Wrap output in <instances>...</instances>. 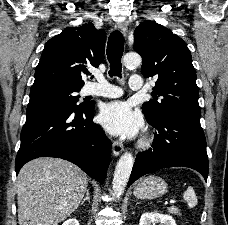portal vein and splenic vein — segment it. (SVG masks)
<instances>
[{
    "label": "portal vein and splenic vein",
    "instance_id": "obj_1",
    "mask_svg": "<svg viewBox=\"0 0 228 225\" xmlns=\"http://www.w3.org/2000/svg\"><path fill=\"white\" fill-rule=\"evenodd\" d=\"M177 201L176 200H168L164 203L165 207H170V205H176Z\"/></svg>",
    "mask_w": 228,
    "mask_h": 225
}]
</instances>
